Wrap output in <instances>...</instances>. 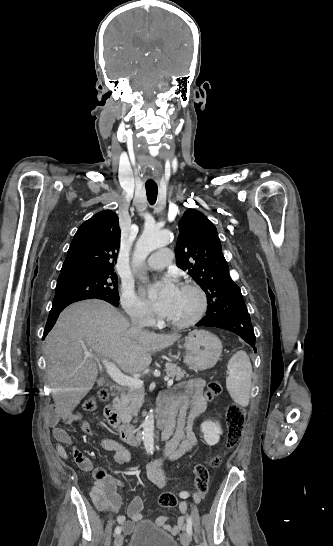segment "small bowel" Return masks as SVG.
<instances>
[{"mask_svg":"<svg viewBox=\"0 0 333 546\" xmlns=\"http://www.w3.org/2000/svg\"><path fill=\"white\" fill-rule=\"evenodd\" d=\"M204 387L205 383L202 379H190L179 386L178 393L163 395L160 398V414L167 422L166 431L162 438L168 441L162 457L152 462L150 477L161 487L168 484V476L163 469V458L166 457L175 461L191 452L197 445L193 426L195 420L204 412L207 406V401L203 395ZM58 420L70 423L81 420V415L79 413L73 415L62 414L51 419L55 450L61 458L67 459L68 452L65 446H71L72 439L65 430L57 426ZM81 428L85 434L93 435L92 428L87 422L83 421ZM101 446L103 449L113 452L118 463L125 464L130 461V452L121 443L111 438H104L101 440ZM71 453L77 465L84 471L89 472L94 479L90 496L97 509L101 512H117L121 500L116 492V481L106 476L103 470L94 469L90 460L76 447H72ZM183 494L184 498L191 496L188 492ZM195 500H197L196 497ZM143 507L144 499L137 496L129 505L127 517L125 515L117 517V523L123 527L126 533L132 532L135 523L141 521ZM179 509L183 515L177 519L174 525L167 523L168 518L166 516L158 517L155 521L156 524L172 535L179 534L185 527L188 518V505L181 502Z\"/></svg>","mask_w":333,"mask_h":546,"instance_id":"small-bowel-1","label":"small bowel"}]
</instances>
